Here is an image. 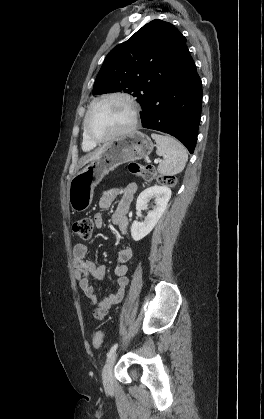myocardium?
Returning a JSON list of instances; mask_svg holds the SVG:
<instances>
[{"label":"myocardium","mask_w":264,"mask_h":419,"mask_svg":"<svg viewBox=\"0 0 264 419\" xmlns=\"http://www.w3.org/2000/svg\"><path fill=\"white\" fill-rule=\"evenodd\" d=\"M110 98H122L129 103V105L131 106V109H132L131 122L124 129H122V130H120V131H118L114 134H111L107 137H103V138L95 137L91 134V132L89 130L88 123H89L90 115H91L94 107L98 103H100V102H102L106 99H110ZM139 116H140V107H139L138 102L134 99L133 96H131L129 93H126V92H123V91L108 92V93H105V94L99 96L98 98H96L90 104V106H89V108L86 112V115L84 117V121H83L84 133H85L87 139L94 144L106 143V142L121 138L123 136H126V135L130 134L132 131H134L135 128L137 127V125H138Z\"/></svg>","instance_id":"myocardium-1"}]
</instances>
